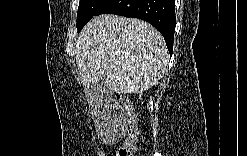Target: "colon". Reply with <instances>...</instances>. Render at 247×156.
<instances>
[{"label": "colon", "mask_w": 247, "mask_h": 156, "mask_svg": "<svg viewBox=\"0 0 247 156\" xmlns=\"http://www.w3.org/2000/svg\"><path fill=\"white\" fill-rule=\"evenodd\" d=\"M119 111L115 114V121L127 127V135L118 147L115 156L133 155L138 141V126L132 105L128 96L117 97Z\"/></svg>", "instance_id": "1"}]
</instances>
